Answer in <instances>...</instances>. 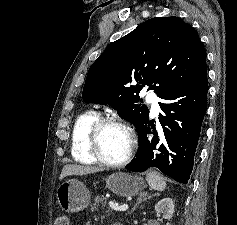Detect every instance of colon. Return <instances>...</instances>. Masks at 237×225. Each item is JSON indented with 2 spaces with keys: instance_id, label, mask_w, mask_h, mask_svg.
Here are the masks:
<instances>
[{
  "instance_id": "1",
  "label": "colon",
  "mask_w": 237,
  "mask_h": 225,
  "mask_svg": "<svg viewBox=\"0 0 237 225\" xmlns=\"http://www.w3.org/2000/svg\"><path fill=\"white\" fill-rule=\"evenodd\" d=\"M55 225H69L68 217L65 215L59 216L55 221Z\"/></svg>"
}]
</instances>
